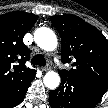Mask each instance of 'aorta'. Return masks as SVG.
Wrapping results in <instances>:
<instances>
[{
	"label": "aorta",
	"mask_w": 108,
	"mask_h": 108,
	"mask_svg": "<svg viewBox=\"0 0 108 108\" xmlns=\"http://www.w3.org/2000/svg\"><path fill=\"white\" fill-rule=\"evenodd\" d=\"M34 41L45 51H54L58 44L55 33L47 27H40L35 30ZM43 81L47 88L54 90L60 84V76L57 72L48 71L45 74Z\"/></svg>",
	"instance_id": "1"
}]
</instances>
